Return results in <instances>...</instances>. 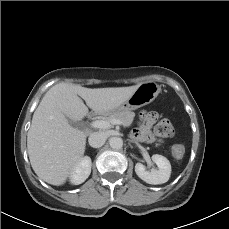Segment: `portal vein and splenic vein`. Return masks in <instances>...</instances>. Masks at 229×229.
Listing matches in <instances>:
<instances>
[{
    "label": "portal vein and splenic vein",
    "mask_w": 229,
    "mask_h": 229,
    "mask_svg": "<svg viewBox=\"0 0 229 229\" xmlns=\"http://www.w3.org/2000/svg\"><path fill=\"white\" fill-rule=\"evenodd\" d=\"M122 122L120 120L114 119L111 121H106V120H96L91 123V126L93 128H98V129H108L112 125H121Z\"/></svg>",
    "instance_id": "18ae733b"
}]
</instances>
